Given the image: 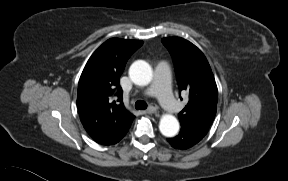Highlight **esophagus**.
Masks as SVG:
<instances>
[{"label": "esophagus", "instance_id": "34e87169", "mask_svg": "<svg viewBox=\"0 0 288 181\" xmlns=\"http://www.w3.org/2000/svg\"><path fill=\"white\" fill-rule=\"evenodd\" d=\"M158 107L155 104H151L148 109L146 110L147 113L149 114H154L155 112H157Z\"/></svg>", "mask_w": 288, "mask_h": 181}]
</instances>
